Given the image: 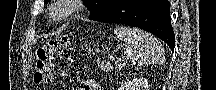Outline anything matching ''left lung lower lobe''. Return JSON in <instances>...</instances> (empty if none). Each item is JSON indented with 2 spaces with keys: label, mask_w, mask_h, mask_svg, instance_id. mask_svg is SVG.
<instances>
[{
  "label": "left lung lower lobe",
  "mask_w": 216,
  "mask_h": 90,
  "mask_svg": "<svg viewBox=\"0 0 216 90\" xmlns=\"http://www.w3.org/2000/svg\"><path fill=\"white\" fill-rule=\"evenodd\" d=\"M169 9L168 0H124L93 20L142 28L165 41L174 51L175 37Z\"/></svg>",
  "instance_id": "left-lung-lower-lobe-1"
}]
</instances>
